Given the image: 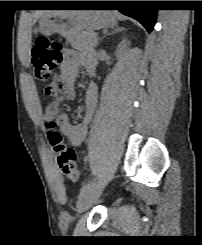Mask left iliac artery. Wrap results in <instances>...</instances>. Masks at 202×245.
I'll return each mask as SVG.
<instances>
[{"mask_svg": "<svg viewBox=\"0 0 202 245\" xmlns=\"http://www.w3.org/2000/svg\"><path fill=\"white\" fill-rule=\"evenodd\" d=\"M95 186V182L94 181H89L88 183H86L80 190V194L86 193L88 192L90 189H92Z\"/></svg>", "mask_w": 202, "mask_h": 245, "instance_id": "1", "label": "left iliac artery"}]
</instances>
